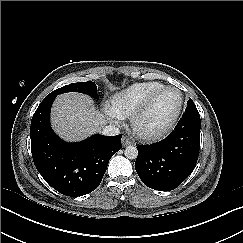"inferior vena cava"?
I'll return each instance as SVG.
<instances>
[{
  "instance_id": "1",
  "label": "inferior vena cava",
  "mask_w": 243,
  "mask_h": 243,
  "mask_svg": "<svg viewBox=\"0 0 243 243\" xmlns=\"http://www.w3.org/2000/svg\"><path fill=\"white\" fill-rule=\"evenodd\" d=\"M120 133V130L115 125H108L103 128L102 134L105 136H115Z\"/></svg>"
}]
</instances>
